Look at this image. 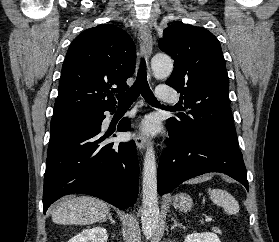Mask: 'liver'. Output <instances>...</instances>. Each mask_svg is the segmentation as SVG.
<instances>
[{
    "label": "liver",
    "instance_id": "liver-1",
    "mask_svg": "<svg viewBox=\"0 0 279 242\" xmlns=\"http://www.w3.org/2000/svg\"><path fill=\"white\" fill-rule=\"evenodd\" d=\"M202 179H196L197 182ZM109 214L107 204L89 196L66 197L53 212L52 221L64 225H85L104 221Z\"/></svg>",
    "mask_w": 279,
    "mask_h": 242
}]
</instances>
